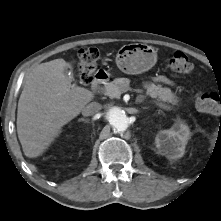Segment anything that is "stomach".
Here are the masks:
<instances>
[{
	"label": "stomach",
	"instance_id": "stomach-1",
	"mask_svg": "<svg viewBox=\"0 0 221 221\" xmlns=\"http://www.w3.org/2000/svg\"><path fill=\"white\" fill-rule=\"evenodd\" d=\"M157 60L156 51L144 44L122 46L116 56L117 67L126 74H141L151 69Z\"/></svg>",
	"mask_w": 221,
	"mask_h": 221
}]
</instances>
